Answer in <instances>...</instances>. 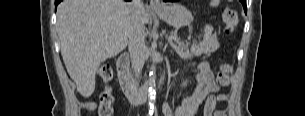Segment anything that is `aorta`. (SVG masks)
Instances as JSON below:
<instances>
[{
	"mask_svg": "<svg viewBox=\"0 0 305 116\" xmlns=\"http://www.w3.org/2000/svg\"><path fill=\"white\" fill-rule=\"evenodd\" d=\"M157 54L154 53L153 58H152V65L150 67V72H149V81H148V106L149 110L153 111V106H154V101L156 98V85H155V80H156V63H157Z\"/></svg>",
	"mask_w": 305,
	"mask_h": 116,
	"instance_id": "aorta-1",
	"label": "aorta"
}]
</instances>
